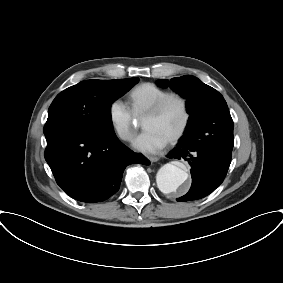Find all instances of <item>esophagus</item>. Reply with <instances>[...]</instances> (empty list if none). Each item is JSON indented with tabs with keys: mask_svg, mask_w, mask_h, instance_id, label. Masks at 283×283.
Listing matches in <instances>:
<instances>
[{
	"mask_svg": "<svg viewBox=\"0 0 283 283\" xmlns=\"http://www.w3.org/2000/svg\"><path fill=\"white\" fill-rule=\"evenodd\" d=\"M148 159L150 160L151 163H153V162H157L159 160V157L150 156V157H148Z\"/></svg>",
	"mask_w": 283,
	"mask_h": 283,
	"instance_id": "esophagus-1",
	"label": "esophagus"
}]
</instances>
